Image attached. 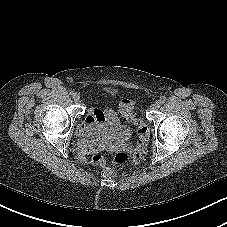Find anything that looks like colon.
Segmentation results:
<instances>
[{
	"instance_id": "colon-1",
	"label": "colon",
	"mask_w": 227,
	"mask_h": 227,
	"mask_svg": "<svg viewBox=\"0 0 227 227\" xmlns=\"http://www.w3.org/2000/svg\"><path fill=\"white\" fill-rule=\"evenodd\" d=\"M134 102L132 100H124L121 104V115L125 121L135 122L138 126L137 136L138 140L136 147L132 153L128 152H118L116 153L110 161H106L101 155L95 154L91 162L95 165H99L103 169V174L106 178H113L116 174V168L127 165L129 163L137 164L144 152L145 146L149 138L148 128L136 119L132 109Z\"/></svg>"
}]
</instances>
